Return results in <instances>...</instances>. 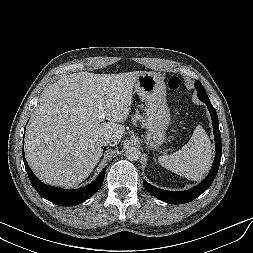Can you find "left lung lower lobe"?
Instances as JSON below:
<instances>
[{"label":"left lung lower lobe","mask_w":253,"mask_h":253,"mask_svg":"<svg viewBox=\"0 0 253 253\" xmlns=\"http://www.w3.org/2000/svg\"><path fill=\"white\" fill-rule=\"evenodd\" d=\"M204 103L207 105V108L212 118L215 145H216V155L210 173L199 185L182 192H172L162 190L150 185L147 182H144V187L147 189V191L164 202L170 204H183L194 200L210 187V185L212 184L217 175L222 156L221 133L219 130L218 117L215 108L212 106L210 100L204 101Z\"/></svg>","instance_id":"obj_1"}]
</instances>
